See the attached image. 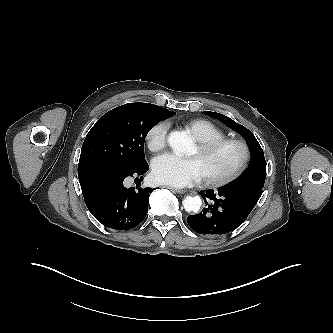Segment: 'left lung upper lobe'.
I'll return each mask as SVG.
<instances>
[{
	"instance_id": "obj_1",
	"label": "left lung upper lobe",
	"mask_w": 333,
	"mask_h": 333,
	"mask_svg": "<svg viewBox=\"0 0 333 333\" xmlns=\"http://www.w3.org/2000/svg\"><path fill=\"white\" fill-rule=\"evenodd\" d=\"M206 114L217 118L233 130L239 132L247 141L251 154L249 169L239 179L226 185L224 188L229 191L243 192L260 198L266 178V161L259 142L251 131L236 123L231 118L211 111H206Z\"/></svg>"
}]
</instances>
